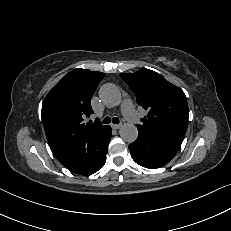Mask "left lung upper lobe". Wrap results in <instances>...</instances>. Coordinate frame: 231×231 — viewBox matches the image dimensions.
Returning a JSON list of instances; mask_svg holds the SVG:
<instances>
[{"label":"left lung upper lobe","mask_w":231,"mask_h":231,"mask_svg":"<svg viewBox=\"0 0 231 231\" xmlns=\"http://www.w3.org/2000/svg\"><path fill=\"white\" fill-rule=\"evenodd\" d=\"M148 111L137 125L138 132L181 145L188 126V104L184 92L149 69L120 74Z\"/></svg>","instance_id":"1"}]
</instances>
